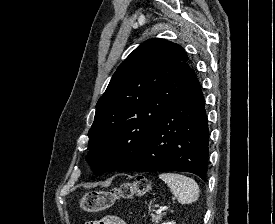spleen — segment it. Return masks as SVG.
Instances as JSON below:
<instances>
[{"instance_id":"1","label":"spleen","mask_w":275,"mask_h":224,"mask_svg":"<svg viewBox=\"0 0 275 224\" xmlns=\"http://www.w3.org/2000/svg\"><path fill=\"white\" fill-rule=\"evenodd\" d=\"M159 178L167 183L179 203L190 204L198 200L200 190L193 179L176 173H162Z\"/></svg>"}]
</instances>
